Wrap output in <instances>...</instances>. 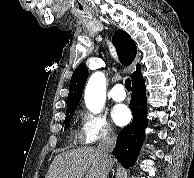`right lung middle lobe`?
Wrapping results in <instances>:
<instances>
[{
  "mask_svg": "<svg viewBox=\"0 0 194 178\" xmlns=\"http://www.w3.org/2000/svg\"><path fill=\"white\" fill-rule=\"evenodd\" d=\"M73 114H74V111L67 112L66 118H65V128H64V130L67 129V127L69 125V121L71 120Z\"/></svg>",
  "mask_w": 194,
  "mask_h": 178,
  "instance_id": "obj_1",
  "label": "right lung middle lobe"
}]
</instances>
